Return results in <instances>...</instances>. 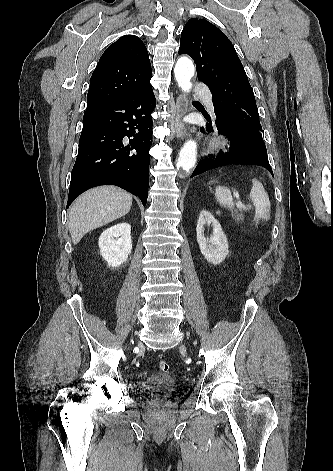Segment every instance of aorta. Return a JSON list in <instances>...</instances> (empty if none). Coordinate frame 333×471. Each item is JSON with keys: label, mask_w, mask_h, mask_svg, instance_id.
Returning a JSON list of instances; mask_svg holds the SVG:
<instances>
[{"label": "aorta", "mask_w": 333, "mask_h": 471, "mask_svg": "<svg viewBox=\"0 0 333 471\" xmlns=\"http://www.w3.org/2000/svg\"><path fill=\"white\" fill-rule=\"evenodd\" d=\"M193 62L186 57L177 60L174 68L175 79L179 87L184 92H189L192 88L191 79L194 76ZM197 159V144L194 140H188L180 150L177 168H182L189 172L194 167Z\"/></svg>", "instance_id": "1"}]
</instances>
